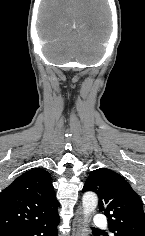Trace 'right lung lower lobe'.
Listing matches in <instances>:
<instances>
[{"instance_id":"98d812e1","label":"right lung lower lobe","mask_w":145,"mask_h":236,"mask_svg":"<svg viewBox=\"0 0 145 236\" xmlns=\"http://www.w3.org/2000/svg\"><path fill=\"white\" fill-rule=\"evenodd\" d=\"M59 216L36 227L0 233V236H57Z\"/></svg>"}]
</instances>
